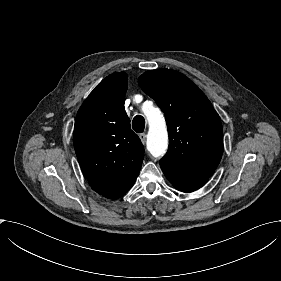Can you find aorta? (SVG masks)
I'll use <instances>...</instances> for the list:
<instances>
[{
	"mask_svg": "<svg viewBox=\"0 0 281 281\" xmlns=\"http://www.w3.org/2000/svg\"><path fill=\"white\" fill-rule=\"evenodd\" d=\"M143 112L149 123L147 149L154 157L163 156L168 147V133L163 115L152 105H144Z\"/></svg>",
	"mask_w": 281,
	"mask_h": 281,
	"instance_id": "obj_1",
	"label": "aorta"
}]
</instances>
